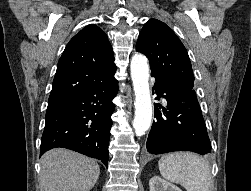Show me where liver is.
<instances>
[{
  "mask_svg": "<svg viewBox=\"0 0 251 191\" xmlns=\"http://www.w3.org/2000/svg\"><path fill=\"white\" fill-rule=\"evenodd\" d=\"M40 167V183L45 191H90L100 175L94 159L64 147L46 151Z\"/></svg>",
  "mask_w": 251,
  "mask_h": 191,
  "instance_id": "1",
  "label": "liver"
}]
</instances>
